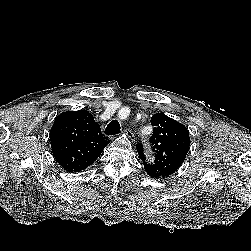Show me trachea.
<instances>
[{
  "mask_svg": "<svg viewBox=\"0 0 251 251\" xmlns=\"http://www.w3.org/2000/svg\"><path fill=\"white\" fill-rule=\"evenodd\" d=\"M119 133H120V124L117 120L111 121L105 129L106 135H116Z\"/></svg>",
  "mask_w": 251,
  "mask_h": 251,
  "instance_id": "trachea-1",
  "label": "trachea"
}]
</instances>
